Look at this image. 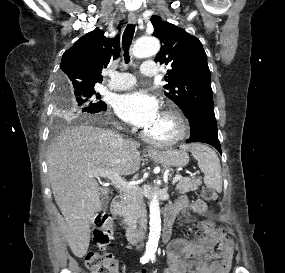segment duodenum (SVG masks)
<instances>
[{"label":"duodenum","instance_id":"obj_1","mask_svg":"<svg viewBox=\"0 0 285 273\" xmlns=\"http://www.w3.org/2000/svg\"><path fill=\"white\" fill-rule=\"evenodd\" d=\"M112 212L113 215L120 221L128 242L131 244H136L139 240V234L136 225L131 220L126 218V200L123 196L115 197L112 204ZM176 214L177 212L173 209L165 211L163 223L164 242H167L170 237Z\"/></svg>","mask_w":285,"mask_h":273}]
</instances>
